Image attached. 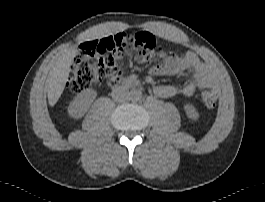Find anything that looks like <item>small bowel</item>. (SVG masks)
Masks as SVG:
<instances>
[{"mask_svg":"<svg viewBox=\"0 0 265 202\" xmlns=\"http://www.w3.org/2000/svg\"><path fill=\"white\" fill-rule=\"evenodd\" d=\"M100 38L102 37L84 41L79 46L78 54L83 57L101 54L98 44ZM161 60V64L150 68L149 73L151 75H177L182 72H189V78L177 85L156 86L154 93L160 98L168 99L178 95L190 97L198 87L213 84L209 68L193 52L188 51L181 56L164 52L161 55ZM112 82L114 83L115 80Z\"/></svg>","mask_w":265,"mask_h":202,"instance_id":"c3829d8e","label":"small bowel"}]
</instances>
